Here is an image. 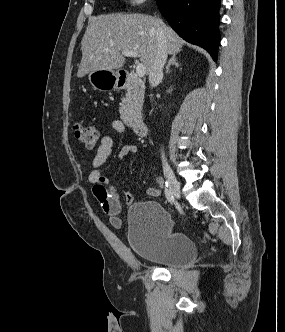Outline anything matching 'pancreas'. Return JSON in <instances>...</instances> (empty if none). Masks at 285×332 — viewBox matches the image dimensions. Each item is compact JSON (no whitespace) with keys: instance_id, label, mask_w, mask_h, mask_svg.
<instances>
[{"instance_id":"1","label":"pancreas","mask_w":285,"mask_h":332,"mask_svg":"<svg viewBox=\"0 0 285 332\" xmlns=\"http://www.w3.org/2000/svg\"><path fill=\"white\" fill-rule=\"evenodd\" d=\"M144 92V85L137 78H134L131 89L123 97L120 105V113L123 119L132 120L141 117Z\"/></svg>"}]
</instances>
